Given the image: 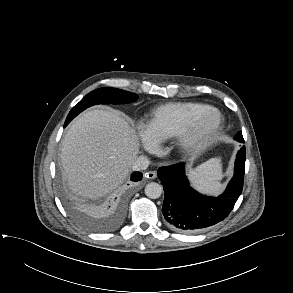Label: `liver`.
<instances>
[{
    "mask_svg": "<svg viewBox=\"0 0 293 293\" xmlns=\"http://www.w3.org/2000/svg\"><path fill=\"white\" fill-rule=\"evenodd\" d=\"M138 152V136L124 117L91 110L68 129L60 157L70 189L97 198L126 179Z\"/></svg>",
    "mask_w": 293,
    "mask_h": 293,
    "instance_id": "1",
    "label": "liver"
}]
</instances>
